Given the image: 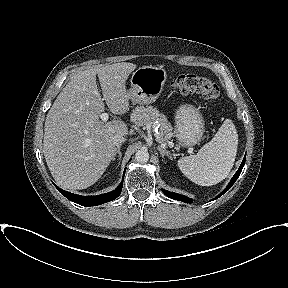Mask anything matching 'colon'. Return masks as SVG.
Returning a JSON list of instances; mask_svg holds the SVG:
<instances>
[{"instance_id":"1","label":"colon","mask_w":288,"mask_h":288,"mask_svg":"<svg viewBox=\"0 0 288 288\" xmlns=\"http://www.w3.org/2000/svg\"><path fill=\"white\" fill-rule=\"evenodd\" d=\"M170 88L175 93H198L207 100H215L219 97V87L206 77L194 73L184 74L170 83Z\"/></svg>"}]
</instances>
